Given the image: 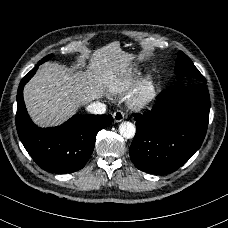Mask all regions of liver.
<instances>
[{"label":"liver","instance_id":"1","mask_svg":"<svg viewBox=\"0 0 228 228\" xmlns=\"http://www.w3.org/2000/svg\"><path fill=\"white\" fill-rule=\"evenodd\" d=\"M131 53L119 42L98 50L89 71L73 74L63 66L47 63L25 88V100L34 119L44 125L56 124L74 113L81 102L103 93V87L117 82L125 73Z\"/></svg>","mask_w":228,"mask_h":228}]
</instances>
